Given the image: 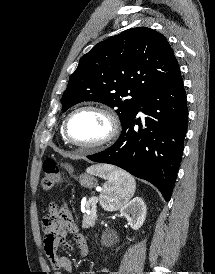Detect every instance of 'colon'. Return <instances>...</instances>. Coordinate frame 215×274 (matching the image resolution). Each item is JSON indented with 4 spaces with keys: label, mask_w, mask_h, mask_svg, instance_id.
Listing matches in <instances>:
<instances>
[{
    "label": "colon",
    "mask_w": 215,
    "mask_h": 274,
    "mask_svg": "<svg viewBox=\"0 0 215 274\" xmlns=\"http://www.w3.org/2000/svg\"><path fill=\"white\" fill-rule=\"evenodd\" d=\"M61 185V172L59 165L54 159H46L43 162L42 188L52 190Z\"/></svg>",
    "instance_id": "colon-1"
}]
</instances>
